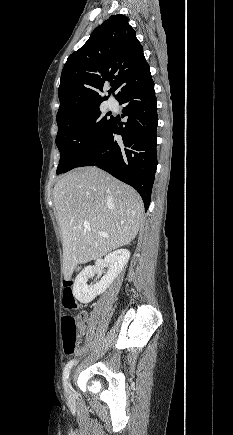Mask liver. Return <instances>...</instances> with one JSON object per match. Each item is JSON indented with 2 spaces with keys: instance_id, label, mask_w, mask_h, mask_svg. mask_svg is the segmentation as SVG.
<instances>
[{
  "instance_id": "liver-1",
  "label": "liver",
  "mask_w": 233,
  "mask_h": 435,
  "mask_svg": "<svg viewBox=\"0 0 233 435\" xmlns=\"http://www.w3.org/2000/svg\"><path fill=\"white\" fill-rule=\"evenodd\" d=\"M53 202L61 228L66 280L77 265L129 244L144 212L142 199L132 187L97 167L77 168L64 175L54 186ZM85 221L89 229L83 226Z\"/></svg>"
}]
</instances>
